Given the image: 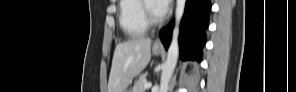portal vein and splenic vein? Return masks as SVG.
Here are the masks:
<instances>
[{
    "label": "portal vein and splenic vein",
    "instance_id": "1",
    "mask_svg": "<svg viewBox=\"0 0 296 92\" xmlns=\"http://www.w3.org/2000/svg\"><path fill=\"white\" fill-rule=\"evenodd\" d=\"M151 86H152L151 83H145V85H144V87H145L146 89L150 88Z\"/></svg>",
    "mask_w": 296,
    "mask_h": 92
}]
</instances>
